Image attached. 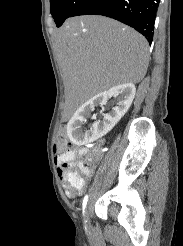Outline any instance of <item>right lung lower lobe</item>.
I'll return each mask as SVG.
<instances>
[{
  "label": "right lung lower lobe",
  "instance_id": "1",
  "mask_svg": "<svg viewBox=\"0 0 183 246\" xmlns=\"http://www.w3.org/2000/svg\"><path fill=\"white\" fill-rule=\"evenodd\" d=\"M158 5L159 0H79L68 17L107 16L133 27L151 44Z\"/></svg>",
  "mask_w": 183,
  "mask_h": 246
}]
</instances>
